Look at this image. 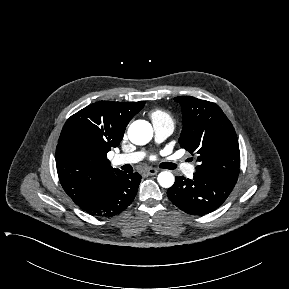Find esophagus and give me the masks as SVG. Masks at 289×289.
<instances>
[{
  "instance_id": "esophagus-1",
  "label": "esophagus",
  "mask_w": 289,
  "mask_h": 289,
  "mask_svg": "<svg viewBox=\"0 0 289 289\" xmlns=\"http://www.w3.org/2000/svg\"><path fill=\"white\" fill-rule=\"evenodd\" d=\"M158 172H159V170H158V169H154V168H149V169H147V170L145 171V173H146L147 175H150V176L156 175Z\"/></svg>"
}]
</instances>
